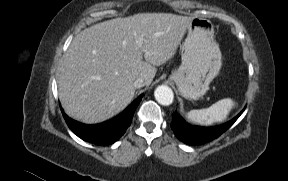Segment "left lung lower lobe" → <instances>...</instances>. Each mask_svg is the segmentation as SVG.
I'll list each match as a JSON object with an SVG mask.
<instances>
[{"instance_id": "obj_1", "label": "left lung lower lobe", "mask_w": 288, "mask_h": 181, "mask_svg": "<svg viewBox=\"0 0 288 181\" xmlns=\"http://www.w3.org/2000/svg\"><path fill=\"white\" fill-rule=\"evenodd\" d=\"M244 109L232 120L214 127L190 125L185 122V120L179 114L174 113L172 115L171 128L175 136L185 144L202 145L218 138L221 134L227 131L243 113Z\"/></svg>"}]
</instances>
